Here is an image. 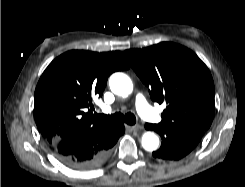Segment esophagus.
<instances>
[{"label": "esophagus", "instance_id": "1", "mask_svg": "<svg viewBox=\"0 0 245 187\" xmlns=\"http://www.w3.org/2000/svg\"><path fill=\"white\" fill-rule=\"evenodd\" d=\"M126 128H127L129 131H139V130H142V129H143V126H141V125L126 126Z\"/></svg>", "mask_w": 245, "mask_h": 187}]
</instances>
